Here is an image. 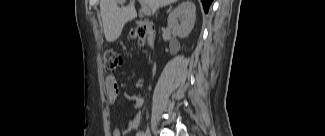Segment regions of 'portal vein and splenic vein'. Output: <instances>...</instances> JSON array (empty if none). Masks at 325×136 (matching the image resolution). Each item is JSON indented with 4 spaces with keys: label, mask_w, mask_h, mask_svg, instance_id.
Masks as SVG:
<instances>
[{
    "label": "portal vein and splenic vein",
    "mask_w": 325,
    "mask_h": 136,
    "mask_svg": "<svg viewBox=\"0 0 325 136\" xmlns=\"http://www.w3.org/2000/svg\"><path fill=\"white\" fill-rule=\"evenodd\" d=\"M125 2V0H120V3ZM141 4L143 3L142 0H140ZM142 12L144 13L145 16H149L151 14L150 9L147 7V5L142 4Z\"/></svg>",
    "instance_id": "obj_1"
}]
</instances>
